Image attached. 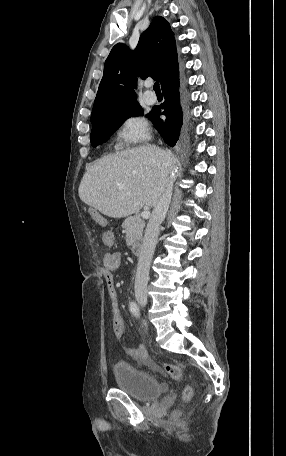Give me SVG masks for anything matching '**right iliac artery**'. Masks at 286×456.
<instances>
[{"label": "right iliac artery", "instance_id": "obj_1", "mask_svg": "<svg viewBox=\"0 0 286 456\" xmlns=\"http://www.w3.org/2000/svg\"><path fill=\"white\" fill-rule=\"evenodd\" d=\"M129 308H130V312H131L135 317H139V315H140L139 307H138V305H137L135 302H131Z\"/></svg>", "mask_w": 286, "mask_h": 456}]
</instances>
